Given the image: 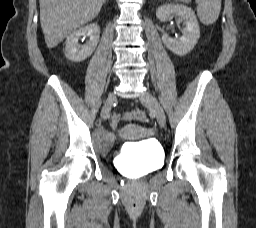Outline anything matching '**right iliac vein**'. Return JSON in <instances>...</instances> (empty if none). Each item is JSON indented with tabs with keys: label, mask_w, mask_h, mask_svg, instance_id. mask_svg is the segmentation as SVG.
Segmentation results:
<instances>
[{
	"label": "right iliac vein",
	"mask_w": 256,
	"mask_h": 228,
	"mask_svg": "<svg viewBox=\"0 0 256 228\" xmlns=\"http://www.w3.org/2000/svg\"><path fill=\"white\" fill-rule=\"evenodd\" d=\"M115 98L116 97H115L114 93H109V95L106 99V102L102 108V112H101V117L103 119H106L108 117L109 112L111 110V105H112L113 101L115 100Z\"/></svg>",
	"instance_id": "obj_1"
}]
</instances>
